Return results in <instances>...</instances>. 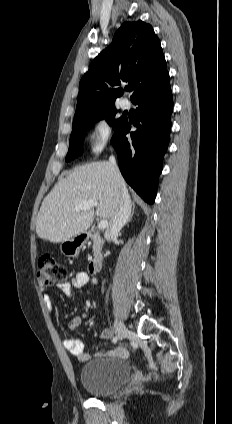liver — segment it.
Returning a JSON list of instances; mask_svg holds the SVG:
<instances>
[{
    "label": "liver",
    "mask_w": 232,
    "mask_h": 424,
    "mask_svg": "<svg viewBox=\"0 0 232 424\" xmlns=\"http://www.w3.org/2000/svg\"><path fill=\"white\" fill-rule=\"evenodd\" d=\"M128 193L120 174L115 177L109 162H94L75 168L44 198L36 220L39 238L59 243L86 232L97 215L110 220L117 208V195ZM97 200L93 208L76 211L83 202Z\"/></svg>",
    "instance_id": "1"
}]
</instances>
